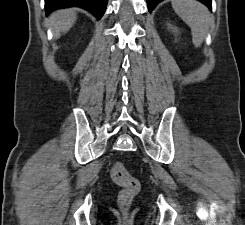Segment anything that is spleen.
Instances as JSON below:
<instances>
[{"mask_svg":"<svg viewBox=\"0 0 245 225\" xmlns=\"http://www.w3.org/2000/svg\"><path fill=\"white\" fill-rule=\"evenodd\" d=\"M171 1L174 11L191 28L193 44L200 47L212 22L210 12L196 0Z\"/></svg>","mask_w":245,"mask_h":225,"instance_id":"obj_1","label":"spleen"}]
</instances>
